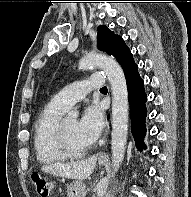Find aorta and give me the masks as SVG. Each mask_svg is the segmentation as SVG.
<instances>
[{"label": "aorta", "instance_id": "obj_1", "mask_svg": "<svg viewBox=\"0 0 191 197\" xmlns=\"http://www.w3.org/2000/svg\"><path fill=\"white\" fill-rule=\"evenodd\" d=\"M100 67L112 91V141L111 153L114 171L117 172L124 159L128 134V90L123 69L113 58L104 54H88L80 60L79 68ZM77 111L68 113L67 118L74 120Z\"/></svg>", "mask_w": 191, "mask_h": 197}]
</instances>
